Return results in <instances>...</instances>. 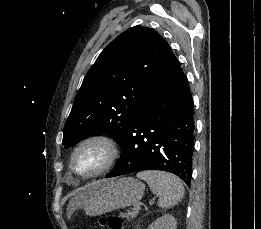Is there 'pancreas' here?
I'll use <instances>...</instances> for the list:
<instances>
[{"mask_svg": "<svg viewBox=\"0 0 261 229\" xmlns=\"http://www.w3.org/2000/svg\"><path fill=\"white\" fill-rule=\"evenodd\" d=\"M137 215H138V211L133 209V211H127V213H123L121 217H125V219H128V221H133V219H135Z\"/></svg>", "mask_w": 261, "mask_h": 229, "instance_id": "pancreas-1", "label": "pancreas"}]
</instances>
